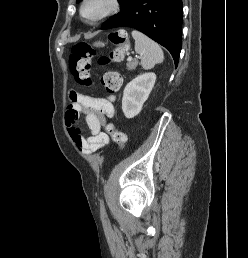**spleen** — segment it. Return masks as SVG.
<instances>
[{
  "label": "spleen",
  "instance_id": "spleen-1",
  "mask_svg": "<svg viewBox=\"0 0 248 258\" xmlns=\"http://www.w3.org/2000/svg\"><path fill=\"white\" fill-rule=\"evenodd\" d=\"M132 37L135 40V51L141 55V65L144 69H151L155 64L163 62V51L155 41L137 30L132 31Z\"/></svg>",
  "mask_w": 248,
  "mask_h": 258
}]
</instances>
